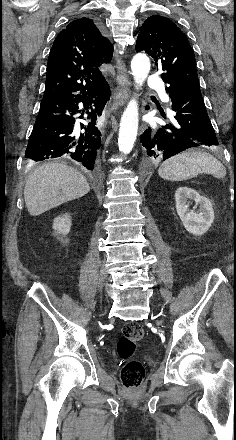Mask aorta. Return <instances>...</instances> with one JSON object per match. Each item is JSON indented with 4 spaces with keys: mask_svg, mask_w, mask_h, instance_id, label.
<instances>
[{
    "mask_svg": "<svg viewBox=\"0 0 236 440\" xmlns=\"http://www.w3.org/2000/svg\"><path fill=\"white\" fill-rule=\"evenodd\" d=\"M132 75L136 89L141 87L150 72V60L144 53H137L131 61ZM138 131V103L132 99L120 121L118 147L124 154H129L133 149Z\"/></svg>",
    "mask_w": 236,
    "mask_h": 440,
    "instance_id": "aorta-1",
    "label": "aorta"
}]
</instances>
